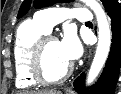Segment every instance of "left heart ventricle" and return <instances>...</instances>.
<instances>
[{"label":"left heart ventricle","mask_w":121,"mask_h":94,"mask_svg":"<svg viewBox=\"0 0 121 94\" xmlns=\"http://www.w3.org/2000/svg\"><path fill=\"white\" fill-rule=\"evenodd\" d=\"M70 65L60 49L58 41L51 40L46 43L43 52V69L48 78L59 77Z\"/></svg>","instance_id":"obj_1"}]
</instances>
